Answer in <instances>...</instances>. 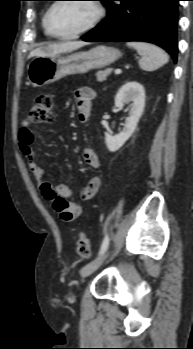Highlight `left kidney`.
Here are the masks:
<instances>
[{
    "label": "left kidney",
    "mask_w": 193,
    "mask_h": 349,
    "mask_svg": "<svg viewBox=\"0 0 193 349\" xmlns=\"http://www.w3.org/2000/svg\"><path fill=\"white\" fill-rule=\"evenodd\" d=\"M128 103H131V107L123 130L115 136L105 132V143L110 152L119 150L132 136L143 113L145 91L143 86L137 81L125 83L116 94L115 106L122 109L123 106Z\"/></svg>",
    "instance_id": "obj_1"
}]
</instances>
